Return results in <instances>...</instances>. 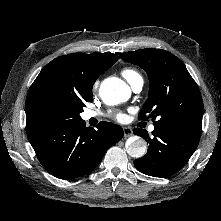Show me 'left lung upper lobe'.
I'll return each instance as SVG.
<instances>
[{
	"instance_id": "1",
	"label": "left lung upper lobe",
	"mask_w": 221,
	"mask_h": 221,
	"mask_svg": "<svg viewBox=\"0 0 221 221\" xmlns=\"http://www.w3.org/2000/svg\"><path fill=\"white\" fill-rule=\"evenodd\" d=\"M120 58L140 66L148 75L149 96L139 119L158 121L155 127L200 138L203 101L199 88L185 65L172 53L162 49H141L120 53Z\"/></svg>"
}]
</instances>
